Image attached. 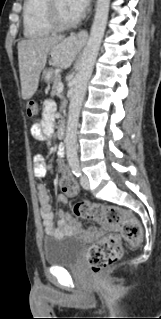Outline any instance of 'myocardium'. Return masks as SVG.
I'll list each match as a JSON object with an SVG mask.
<instances>
[{
  "instance_id": "myocardium-1",
  "label": "myocardium",
  "mask_w": 161,
  "mask_h": 319,
  "mask_svg": "<svg viewBox=\"0 0 161 319\" xmlns=\"http://www.w3.org/2000/svg\"><path fill=\"white\" fill-rule=\"evenodd\" d=\"M45 17L50 27L58 31L73 28L80 21V17L78 16L69 21L61 20L58 13L57 0H46Z\"/></svg>"
}]
</instances>
